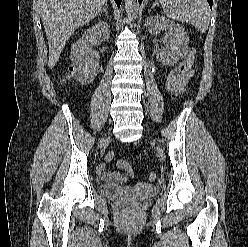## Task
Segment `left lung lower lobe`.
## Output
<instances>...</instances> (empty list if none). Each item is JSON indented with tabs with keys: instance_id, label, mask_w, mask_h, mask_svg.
Segmentation results:
<instances>
[{
	"instance_id": "left-lung-lower-lobe-1",
	"label": "left lung lower lobe",
	"mask_w": 248,
	"mask_h": 247,
	"mask_svg": "<svg viewBox=\"0 0 248 247\" xmlns=\"http://www.w3.org/2000/svg\"><path fill=\"white\" fill-rule=\"evenodd\" d=\"M207 1H208V3H209L210 7L212 8L213 0H207ZM141 2H142V0H139V3H141Z\"/></svg>"
}]
</instances>
